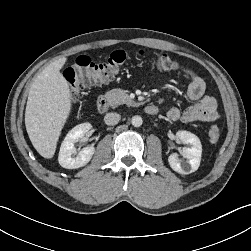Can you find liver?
Segmentation results:
<instances>
[{
	"label": "liver",
	"mask_w": 251,
	"mask_h": 251,
	"mask_svg": "<svg viewBox=\"0 0 251 251\" xmlns=\"http://www.w3.org/2000/svg\"><path fill=\"white\" fill-rule=\"evenodd\" d=\"M67 58L49 64L32 83L26 110L25 126L36 151L51 159L61 130L71 112L69 84L60 70Z\"/></svg>",
	"instance_id": "obj_1"
}]
</instances>
